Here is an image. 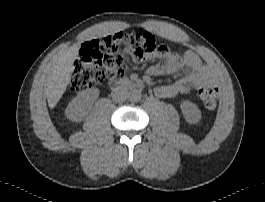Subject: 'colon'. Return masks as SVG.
Masks as SVG:
<instances>
[{"label": "colon", "mask_w": 265, "mask_h": 202, "mask_svg": "<svg viewBox=\"0 0 265 202\" xmlns=\"http://www.w3.org/2000/svg\"><path fill=\"white\" fill-rule=\"evenodd\" d=\"M124 49L137 61L151 60L167 51L149 35L134 32L106 35L99 39L97 52L75 60L70 79L72 93H79L106 79L123 76ZM199 98L206 109L212 110L217 105L219 90L205 87L199 91Z\"/></svg>", "instance_id": "1"}]
</instances>
